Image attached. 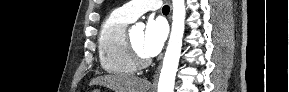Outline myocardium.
Returning a JSON list of instances; mask_svg holds the SVG:
<instances>
[{"label":"myocardium","mask_w":289,"mask_h":92,"mask_svg":"<svg viewBox=\"0 0 289 92\" xmlns=\"http://www.w3.org/2000/svg\"><path fill=\"white\" fill-rule=\"evenodd\" d=\"M126 49L130 60L136 68H145L150 64L148 57L142 56L134 47L130 34H126Z\"/></svg>","instance_id":"myocardium-1"}]
</instances>
